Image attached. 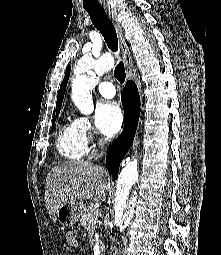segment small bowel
<instances>
[{"label": "small bowel", "instance_id": "1", "mask_svg": "<svg viewBox=\"0 0 221 255\" xmlns=\"http://www.w3.org/2000/svg\"><path fill=\"white\" fill-rule=\"evenodd\" d=\"M66 242L69 246L73 248H77L79 245L77 236L71 231L68 232L66 235Z\"/></svg>", "mask_w": 221, "mask_h": 255}]
</instances>
